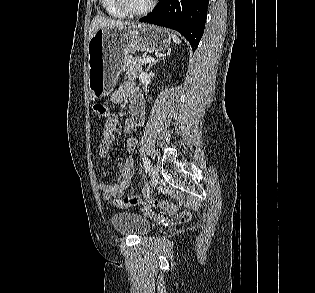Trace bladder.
I'll list each match as a JSON object with an SVG mask.
<instances>
[{
  "label": "bladder",
  "instance_id": "31cf9c89",
  "mask_svg": "<svg viewBox=\"0 0 315 293\" xmlns=\"http://www.w3.org/2000/svg\"><path fill=\"white\" fill-rule=\"evenodd\" d=\"M114 229L122 235H147L152 225L145 217L134 212H117L111 216Z\"/></svg>",
  "mask_w": 315,
  "mask_h": 293
}]
</instances>
